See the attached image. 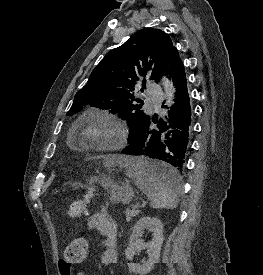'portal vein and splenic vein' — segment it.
<instances>
[{
	"mask_svg": "<svg viewBox=\"0 0 263 275\" xmlns=\"http://www.w3.org/2000/svg\"><path fill=\"white\" fill-rule=\"evenodd\" d=\"M145 204H146V203L144 202L141 206L144 207ZM138 207H139V205H134V206H133V208H138Z\"/></svg>",
	"mask_w": 263,
	"mask_h": 275,
	"instance_id": "18ae733b",
	"label": "portal vein and splenic vein"
}]
</instances>
